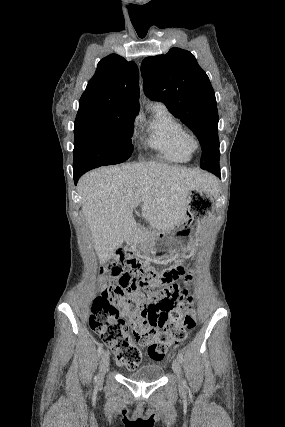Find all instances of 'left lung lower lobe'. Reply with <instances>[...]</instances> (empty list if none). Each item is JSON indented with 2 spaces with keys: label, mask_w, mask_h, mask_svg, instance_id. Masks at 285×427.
Masks as SVG:
<instances>
[{
  "label": "left lung lower lobe",
  "mask_w": 285,
  "mask_h": 427,
  "mask_svg": "<svg viewBox=\"0 0 285 427\" xmlns=\"http://www.w3.org/2000/svg\"><path fill=\"white\" fill-rule=\"evenodd\" d=\"M217 175L220 176V169L217 171Z\"/></svg>",
  "instance_id": "left-lung-lower-lobe-1"
}]
</instances>
